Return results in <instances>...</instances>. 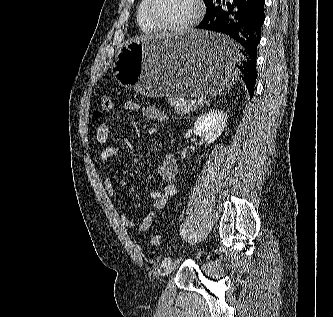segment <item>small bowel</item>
Returning <instances> with one entry per match:
<instances>
[{
  "label": "small bowel",
  "instance_id": "obj_1",
  "mask_svg": "<svg viewBox=\"0 0 333 317\" xmlns=\"http://www.w3.org/2000/svg\"><path fill=\"white\" fill-rule=\"evenodd\" d=\"M124 108L131 112L140 110L147 119L154 122L165 123L168 121L167 115L161 109L155 106L141 107L136 101L127 100L124 103ZM110 134L111 129L108 123H101L97 127L95 133L96 142L98 144L105 145L100 155L101 161L104 163L108 162L110 159L114 158L118 154V148L114 145L109 144ZM157 173L164 182L163 190L151 191L149 193V198L151 200V208L148 214L143 218L140 223H135L118 208L120 220L125 227L136 228L138 232L147 231L151 227L157 215V212L163 209L168 203V201L177 194V161L172 154H166L163 157L160 165L157 167ZM103 185L110 198L115 203H117L116 190L110 177L104 178Z\"/></svg>",
  "mask_w": 333,
  "mask_h": 317
}]
</instances>
